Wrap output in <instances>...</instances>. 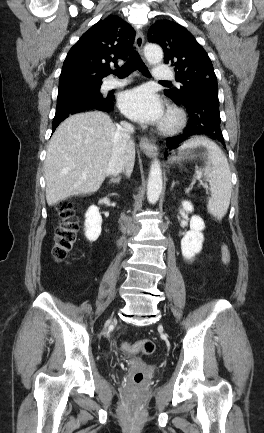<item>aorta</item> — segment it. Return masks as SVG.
<instances>
[{"instance_id":"1","label":"aorta","mask_w":264,"mask_h":433,"mask_svg":"<svg viewBox=\"0 0 264 433\" xmlns=\"http://www.w3.org/2000/svg\"><path fill=\"white\" fill-rule=\"evenodd\" d=\"M144 55L150 64L160 63L163 59V51L156 44H147L144 48ZM162 187V170L160 162L155 159L151 164L147 183V199L149 203L155 204L159 200Z\"/></svg>"}]
</instances>
